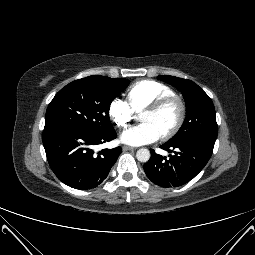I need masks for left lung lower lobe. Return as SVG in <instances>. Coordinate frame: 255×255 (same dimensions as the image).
Listing matches in <instances>:
<instances>
[{
	"label": "left lung lower lobe",
	"instance_id": "obj_1",
	"mask_svg": "<svg viewBox=\"0 0 255 255\" xmlns=\"http://www.w3.org/2000/svg\"><path fill=\"white\" fill-rule=\"evenodd\" d=\"M160 148L174 152L169 159L151 149V158L144 165L147 177L161 187H178L193 179L210 159L214 146L204 143L170 144Z\"/></svg>",
	"mask_w": 255,
	"mask_h": 255
}]
</instances>
